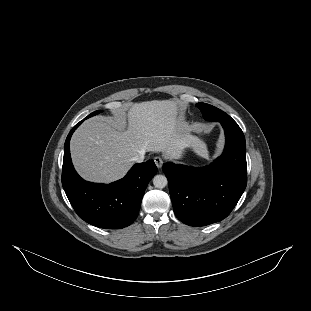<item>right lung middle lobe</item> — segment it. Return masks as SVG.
I'll list each match as a JSON object with an SVG mask.
<instances>
[{
  "label": "right lung middle lobe",
  "mask_w": 311,
  "mask_h": 311,
  "mask_svg": "<svg viewBox=\"0 0 311 311\" xmlns=\"http://www.w3.org/2000/svg\"><path fill=\"white\" fill-rule=\"evenodd\" d=\"M101 111H95L93 113H91L89 116H87L85 119L89 118V117H92L94 115H97L98 113H100Z\"/></svg>",
  "instance_id": "right-lung-middle-lobe-1"
}]
</instances>
